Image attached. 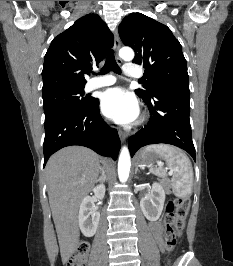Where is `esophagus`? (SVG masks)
<instances>
[{
  "label": "esophagus",
  "mask_w": 233,
  "mask_h": 266,
  "mask_svg": "<svg viewBox=\"0 0 233 266\" xmlns=\"http://www.w3.org/2000/svg\"><path fill=\"white\" fill-rule=\"evenodd\" d=\"M120 49V40H119V36H118V32H115L114 35V50L116 53V60L118 62V64H122L123 61L121 60V58L118 56V51ZM119 137L121 139L122 142H124L127 138V134L125 132H123L122 130L119 131Z\"/></svg>",
  "instance_id": "34e87169"
}]
</instances>
